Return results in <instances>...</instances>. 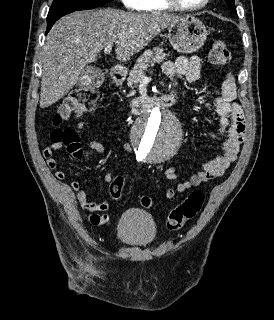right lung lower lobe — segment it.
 <instances>
[{
	"mask_svg": "<svg viewBox=\"0 0 274 320\" xmlns=\"http://www.w3.org/2000/svg\"><path fill=\"white\" fill-rule=\"evenodd\" d=\"M58 19H59V18L54 19V20L47 21V30H46V34L49 32V30L51 29V27L53 26V24H54Z\"/></svg>",
	"mask_w": 274,
	"mask_h": 320,
	"instance_id": "1",
	"label": "right lung lower lobe"
}]
</instances>
